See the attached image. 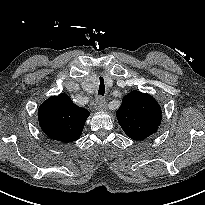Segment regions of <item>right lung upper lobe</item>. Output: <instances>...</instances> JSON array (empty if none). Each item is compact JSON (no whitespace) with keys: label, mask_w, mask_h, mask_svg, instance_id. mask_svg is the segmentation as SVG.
<instances>
[{"label":"right lung upper lobe","mask_w":205,"mask_h":205,"mask_svg":"<svg viewBox=\"0 0 205 205\" xmlns=\"http://www.w3.org/2000/svg\"><path fill=\"white\" fill-rule=\"evenodd\" d=\"M88 116L89 111L75 105L66 94L50 97L38 110L43 132L49 138L65 143L80 137Z\"/></svg>","instance_id":"right-lung-upper-lobe-1"}]
</instances>
